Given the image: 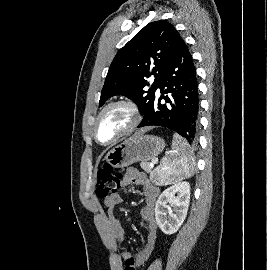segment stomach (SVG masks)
Returning a JSON list of instances; mask_svg holds the SVG:
<instances>
[{
	"label": "stomach",
	"instance_id": "1",
	"mask_svg": "<svg viewBox=\"0 0 267 270\" xmlns=\"http://www.w3.org/2000/svg\"><path fill=\"white\" fill-rule=\"evenodd\" d=\"M165 148L163 138L142 134L130 138L112 148L106 155V161L115 168L127 167L138 161L156 158Z\"/></svg>",
	"mask_w": 267,
	"mask_h": 270
}]
</instances>
